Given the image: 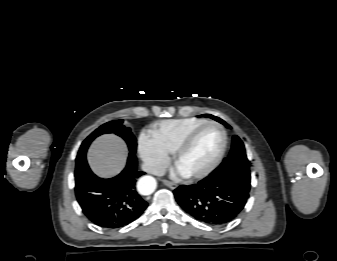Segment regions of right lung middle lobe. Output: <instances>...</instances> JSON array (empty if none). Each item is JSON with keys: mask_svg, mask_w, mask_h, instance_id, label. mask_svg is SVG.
<instances>
[{"mask_svg": "<svg viewBox=\"0 0 337 261\" xmlns=\"http://www.w3.org/2000/svg\"><path fill=\"white\" fill-rule=\"evenodd\" d=\"M123 120H115V121H110L107 122L105 124H103L102 126H100L99 128H97L93 133H91L82 143L76 161H78L79 159H81L83 156L86 155V151L89 147V145L91 144V142L98 136L105 134V133H115L116 135L122 137L128 147H129V151L131 153H135L136 152V147H137V142H136V138L134 137V135L131 133L130 128H125L123 125Z\"/></svg>", "mask_w": 337, "mask_h": 261, "instance_id": "dd1d6c3e", "label": "right lung middle lobe"}]
</instances>
